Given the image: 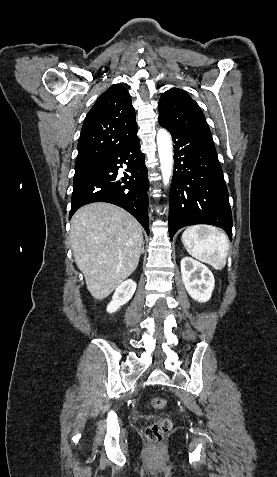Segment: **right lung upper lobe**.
Instances as JSON below:
<instances>
[{
  "mask_svg": "<svg viewBox=\"0 0 277 477\" xmlns=\"http://www.w3.org/2000/svg\"><path fill=\"white\" fill-rule=\"evenodd\" d=\"M135 110L124 86L114 84L88 112L78 141L75 169L82 168L137 137Z\"/></svg>",
  "mask_w": 277,
  "mask_h": 477,
  "instance_id": "right-lung-upper-lobe-1",
  "label": "right lung upper lobe"
}]
</instances>
